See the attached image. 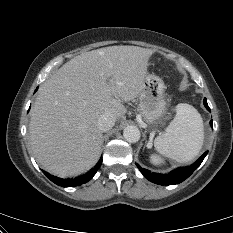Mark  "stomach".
Masks as SVG:
<instances>
[{
	"instance_id": "stomach-1",
	"label": "stomach",
	"mask_w": 233,
	"mask_h": 233,
	"mask_svg": "<svg viewBox=\"0 0 233 233\" xmlns=\"http://www.w3.org/2000/svg\"><path fill=\"white\" fill-rule=\"evenodd\" d=\"M138 109L149 125L154 126L160 122L167 109L165 85L161 78L153 74L145 76Z\"/></svg>"
}]
</instances>
